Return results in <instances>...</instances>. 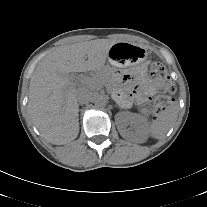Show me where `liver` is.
Instances as JSON below:
<instances>
[{
  "instance_id": "obj_1",
  "label": "liver",
  "mask_w": 207,
  "mask_h": 207,
  "mask_svg": "<svg viewBox=\"0 0 207 207\" xmlns=\"http://www.w3.org/2000/svg\"><path fill=\"white\" fill-rule=\"evenodd\" d=\"M116 43L96 39L57 47L38 63L30 80L27 107L33 124L46 141L62 145L77 138L76 95L81 87L76 88L70 74L102 69Z\"/></svg>"
}]
</instances>
